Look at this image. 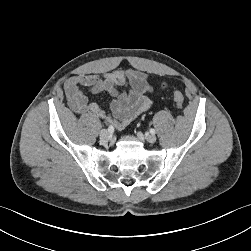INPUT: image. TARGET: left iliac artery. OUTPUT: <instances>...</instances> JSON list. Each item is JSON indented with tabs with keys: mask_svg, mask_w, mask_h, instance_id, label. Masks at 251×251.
I'll use <instances>...</instances> for the list:
<instances>
[{
	"mask_svg": "<svg viewBox=\"0 0 251 251\" xmlns=\"http://www.w3.org/2000/svg\"><path fill=\"white\" fill-rule=\"evenodd\" d=\"M150 133L151 134H155V130L154 129H150Z\"/></svg>",
	"mask_w": 251,
	"mask_h": 251,
	"instance_id": "44dca946",
	"label": "left iliac artery"
}]
</instances>
